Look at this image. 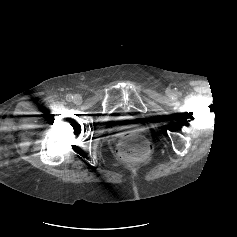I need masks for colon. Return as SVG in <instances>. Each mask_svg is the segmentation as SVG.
<instances>
[{
    "label": "colon",
    "instance_id": "colon-1",
    "mask_svg": "<svg viewBox=\"0 0 237 237\" xmlns=\"http://www.w3.org/2000/svg\"><path fill=\"white\" fill-rule=\"evenodd\" d=\"M151 151V147L146 138L138 132L125 134L118 143V155L128 161H138L146 159Z\"/></svg>",
    "mask_w": 237,
    "mask_h": 237
}]
</instances>
